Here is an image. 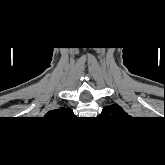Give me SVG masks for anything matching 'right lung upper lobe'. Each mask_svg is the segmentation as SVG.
I'll use <instances>...</instances> for the list:
<instances>
[{"instance_id": "cb5924a9", "label": "right lung upper lobe", "mask_w": 165, "mask_h": 165, "mask_svg": "<svg viewBox=\"0 0 165 165\" xmlns=\"http://www.w3.org/2000/svg\"><path fill=\"white\" fill-rule=\"evenodd\" d=\"M73 111L70 108L60 107L58 109L49 111L45 117L52 118H66L67 116H72Z\"/></svg>"}]
</instances>
